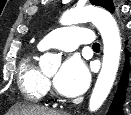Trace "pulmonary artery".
I'll list each match as a JSON object with an SVG mask.
<instances>
[{
	"mask_svg": "<svg viewBox=\"0 0 131 115\" xmlns=\"http://www.w3.org/2000/svg\"><path fill=\"white\" fill-rule=\"evenodd\" d=\"M94 44L92 32L84 27L72 26L59 28L48 33L39 43L41 50L57 48L72 51L80 45Z\"/></svg>",
	"mask_w": 131,
	"mask_h": 115,
	"instance_id": "1",
	"label": "pulmonary artery"
}]
</instances>
